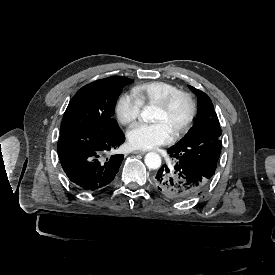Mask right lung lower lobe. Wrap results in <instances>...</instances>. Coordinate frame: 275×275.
<instances>
[{"instance_id":"right-lung-lower-lobe-1","label":"right lung lower lobe","mask_w":275,"mask_h":275,"mask_svg":"<svg viewBox=\"0 0 275 275\" xmlns=\"http://www.w3.org/2000/svg\"><path fill=\"white\" fill-rule=\"evenodd\" d=\"M125 141L121 130L107 135L83 128L61 130L57 151L62 168L80 190L95 191L117 174L122 155H109Z\"/></svg>"}]
</instances>
